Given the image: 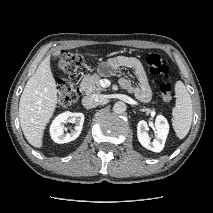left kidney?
Wrapping results in <instances>:
<instances>
[{"label":"left kidney","instance_id":"1","mask_svg":"<svg viewBox=\"0 0 213 213\" xmlns=\"http://www.w3.org/2000/svg\"><path fill=\"white\" fill-rule=\"evenodd\" d=\"M155 127H156V138L151 141L147 130L149 126L146 121L141 120L137 125V137L140 144L148 150L153 152H161L164 148V144L169 133V124L167 119L158 115L155 119Z\"/></svg>","mask_w":213,"mask_h":213}]
</instances>
